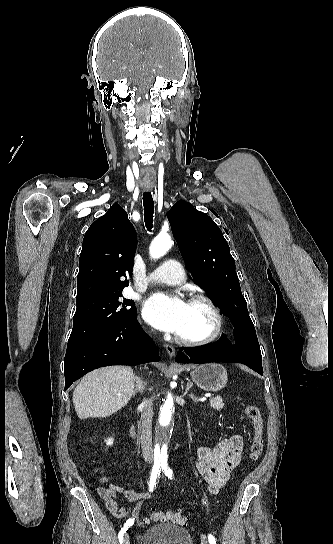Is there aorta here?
<instances>
[{
    "mask_svg": "<svg viewBox=\"0 0 333 544\" xmlns=\"http://www.w3.org/2000/svg\"><path fill=\"white\" fill-rule=\"evenodd\" d=\"M172 246V240L169 235H158L150 245V256L158 259L164 256ZM173 398L168 394L166 401L161 407L159 423L155 435V454L160 459L167 457L168 443L171 438V417L173 411Z\"/></svg>",
    "mask_w": 333,
    "mask_h": 544,
    "instance_id": "762f6f07",
    "label": "aorta"
}]
</instances>
